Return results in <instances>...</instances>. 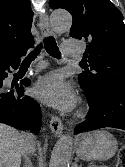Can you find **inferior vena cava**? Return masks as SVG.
<instances>
[{"instance_id": "obj_1", "label": "inferior vena cava", "mask_w": 125, "mask_h": 167, "mask_svg": "<svg viewBox=\"0 0 125 167\" xmlns=\"http://www.w3.org/2000/svg\"><path fill=\"white\" fill-rule=\"evenodd\" d=\"M24 140L22 144V155L26 160V167H32L28 155L34 152V135L31 133H24Z\"/></svg>"}]
</instances>
